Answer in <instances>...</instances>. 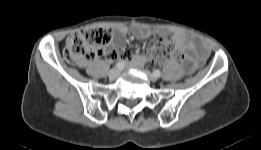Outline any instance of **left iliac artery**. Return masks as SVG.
<instances>
[{"mask_svg":"<svg viewBox=\"0 0 261 150\" xmlns=\"http://www.w3.org/2000/svg\"><path fill=\"white\" fill-rule=\"evenodd\" d=\"M153 75L158 78L161 76V72L159 70H154Z\"/></svg>","mask_w":261,"mask_h":150,"instance_id":"left-iliac-artery-1","label":"left iliac artery"}]
</instances>
